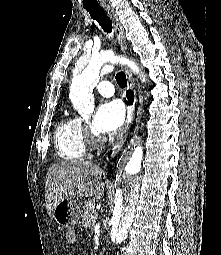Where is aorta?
<instances>
[{
  "label": "aorta",
  "instance_id": "aorta-1",
  "mask_svg": "<svg viewBox=\"0 0 221 255\" xmlns=\"http://www.w3.org/2000/svg\"><path fill=\"white\" fill-rule=\"evenodd\" d=\"M120 58L112 52H105L90 59L82 72L72 79L69 98L73 107L84 117L94 110L93 89L100 80V72L109 63L114 65ZM143 151L137 147L133 154L126 153L121 159L116 175L115 207L112 217L111 237L117 243L123 242L134 220L139 196L141 162Z\"/></svg>",
  "mask_w": 221,
  "mask_h": 255
}]
</instances>
